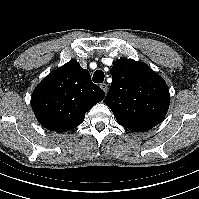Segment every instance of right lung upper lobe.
Here are the masks:
<instances>
[{
  "instance_id": "obj_1",
  "label": "right lung upper lobe",
  "mask_w": 199,
  "mask_h": 199,
  "mask_svg": "<svg viewBox=\"0 0 199 199\" xmlns=\"http://www.w3.org/2000/svg\"><path fill=\"white\" fill-rule=\"evenodd\" d=\"M104 97V91L92 83L90 73L77 61H70L37 85L31 104L43 127L61 133L81 124L85 112Z\"/></svg>"
}]
</instances>
